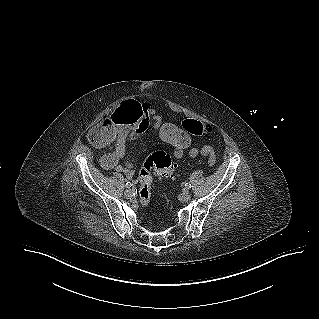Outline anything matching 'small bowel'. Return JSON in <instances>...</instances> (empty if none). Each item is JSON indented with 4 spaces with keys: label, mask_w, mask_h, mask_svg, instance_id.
<instances>
[{
    "label": "small bowel",
    "mask_w": 319,
    "mask_h": 319,
    "mask_svg": "<svg viewBox=\"0 0 319 319\" xmlns=\"http://www.w3.org/2000/svg\"><path fill=\"white\" fill-rule=\"evenodd\" d=\"M163 122L165 121L159 111L149 103H142L134 99L118 101L116 110L101 115L99 122L90 128L88 141L99 148L113 146L110 152L102 155L101 165L104 168L131 175L133 165L119 162L125 155L127 138L136 139L148 129L150 123L157 131ZM181 122L179 121V130H182ZM184 151L173 149V154L179 159L183 157ZM189 155L192 158L205 157L210 166L214 165L216 160L215 152L211 146H204L201 149L193 148Z\"/></svg>",
    "instance_id": "1"
}]
</instances>
